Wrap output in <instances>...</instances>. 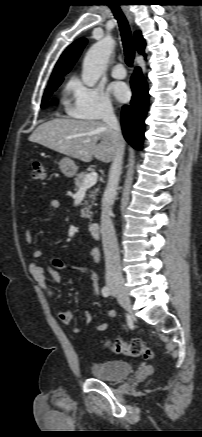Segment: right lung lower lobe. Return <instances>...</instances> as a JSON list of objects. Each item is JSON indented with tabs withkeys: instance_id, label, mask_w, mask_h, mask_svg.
Segmentation results:
<instances>
[{
	"instance_id": "obj_1",
	"label": "right lung lower lobe",
	"mask_w": 202,
	"mask_h": 437,
	"mask_svg": "<svg viewBox=\"0 0 202 437\" xmlns=\"http://www.w3.org/2000/svg\"><path fill=\"white\" fill-rule=\"evenodd\" d=\"M133 90L129 105L122 107L121 125L127 142L135 149L141 150L145 132V118L148 110L149 94L147 83L139 67L131 77Z\"/></svg>"
}]
</instances>
